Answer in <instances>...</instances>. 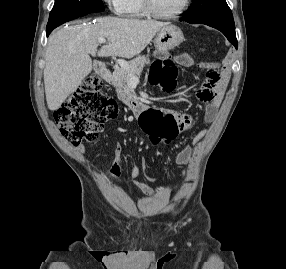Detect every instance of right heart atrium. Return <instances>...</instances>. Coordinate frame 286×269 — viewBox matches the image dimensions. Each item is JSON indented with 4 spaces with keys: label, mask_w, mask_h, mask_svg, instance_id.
Here are the masks:
<instances>
[{
    "label": "right heart atrium",
    "mask_w": 286,
    "mask_h": 269,
    "mask_svg": "<svg viewBox=\"0 0 286 269\" xmlns=\"http://www.w3.org/2000/svg\"><path fill=\"white\" fill-rule=\"evenodd\" d=\"M123 0H104L109 9L114 13H120Z\"/></svg>",
    "instance_id": "d8ad5b80"
}]
</instances>
